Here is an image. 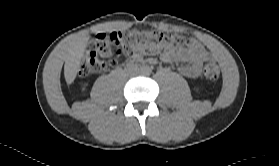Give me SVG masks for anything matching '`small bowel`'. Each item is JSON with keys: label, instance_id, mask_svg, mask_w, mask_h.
<instances>
[{"label": "small bowel", "instance_id": "c3829d8e", "mask_svg": "<svg viewBox=\"0 0 279 166\" xmlns=\"http://www.w3.org/2000/svg\"><path fill=\"white\" fill-rule=\"evenodd\" d=\"M142 53H137L133 58H140ZM209 57V53L201 44L193 42L186 51L178 55V58L185 62L184 65L180 66L179 70L184 76L195 78L200 74L202 63ZM161 58L163 61L169 62L173 59V55L170 53H162Z\"/></svg>", "mask_w": 279, "mask_h": 166}]
</instances>
